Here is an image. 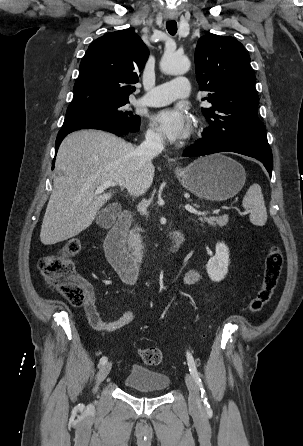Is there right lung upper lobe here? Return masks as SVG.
<instances>
[{"mask_svg": "<svg viewBox=\"0 0 303 446\" xmlns=\"http://www.w3.org/2000/svg\"><path fill=\"white\" fill-rule=\"evenodd\" d=\"M148 56L140 36L129 29L96 39L80 63L73 101L67 110L128 101Z\"/></svg>", "mask_w": 303, "mask_h": 446, "instance_id": "cb5924a9", "label": "right lung upper lobe"}]
</instances>
